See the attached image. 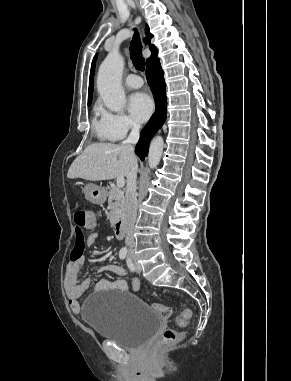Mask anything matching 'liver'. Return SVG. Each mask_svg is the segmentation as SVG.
Instances as JSON below:
<instances>
[{"label":"liver","instance_id":"6515ba94","mask_svg":"<svg viewBox=\"0 0 291 381\" xmlns=\"http://www.w3.org/2000/svg\"><path fill=\"white\" fill-rule=\"evenodd\" d=\"M135 159L122 144L93 143L73 161L67 177L91 181L127 177Z\"/></svg>","mask_w":291,"mask_h":381}]
</instances>
